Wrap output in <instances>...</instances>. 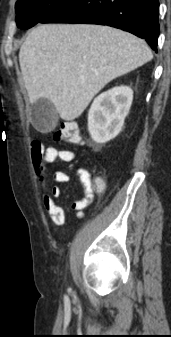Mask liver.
<instances>
[{"label": "liver", "instance_id": "6515ba94", "mask_svg": "<svg viewBox=\"0 0 171 337\" xmlns=\"http://www.w3.org/2000/svg\"><path fill=\"white\" fill-rule=\"evenodd\" d=\"M152 58L135 35L85 24L39 25L19 51L30 101L49 100L66 121L78 118L107 83Z\"/></svg>", "mask_w": 171, "mask_h": 337}]
</instances>
